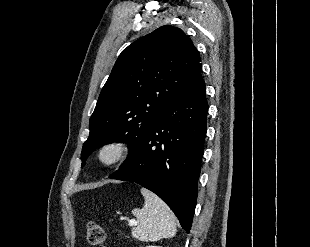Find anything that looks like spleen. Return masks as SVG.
I'll use <instances>...</instances> for the list:
<instances>
[{
	"mask_svg": "<svg viewBox=\"0 0 310 247\" xmlns=\"http://www.w3.org/2000/svg\"><path fill=\"white\" fill-rule=\"evenodd\" d=\"M145 203L142 209L132 210L138 224L132 229V236L149 242L162 238H172L176 234V220L167 204L156 194L142 188Z\"/></svg>",
	"mask_w": 310,
	"mask_h": 247,
	"instance_id": "1",
	"label": "spleen"
}]
</instances>
